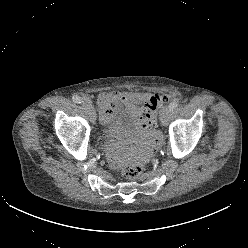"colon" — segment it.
Masks as SVG:
<instances>
[{"instance_id":"5ec220e1","label":"colon","mask_w":248,"mask_h":248,"mask_svg":"<svg viewBox=\"0 0 248 248\" xmlns=\"http://www.w3.org/2000/svg\"><path fill=\"white\" fill-rule=\"evenodd\" d=\"M166 100L165 97L152 96L143 117V122L148 127H153L157 122V109L161 103ZM143 168L138 164H128L122 168V175L127 179H136L140 177Z\"/></svg>"}]
</instances>
